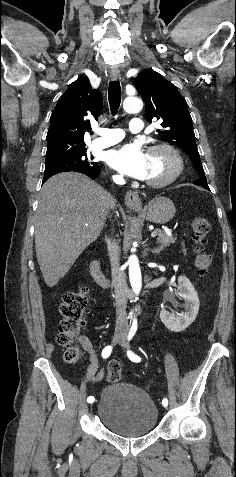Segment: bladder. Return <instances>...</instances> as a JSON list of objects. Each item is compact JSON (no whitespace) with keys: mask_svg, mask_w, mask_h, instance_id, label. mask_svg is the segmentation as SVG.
Listing matches in <instances>:
<instances>
[{"mask_svg":"<svg viewBox=\"0 0 236 477\" xmlns=\"http://www.w3.org/2000/svg\"><path fill=\"white\" fill-rule=\"evenodd\" d=\"M100 422L111 432L136 438L152 432L158 424V409L142 388L116 382L106 385L96 402Z\"/></svg>","mask_w":236,"mask_h":477,"instance_id":"bladder-1","label":"bladder"}]
</instances>
